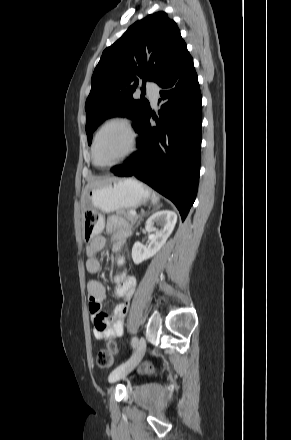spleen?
Returning <instances> with one entry per match:
<instances>
[{
	"mask_svg": "<svg viewBox=\"0 0 291 440\" xmlns=\"http://www.w3.org/2000/svg\"><path fill=\"white\" fill-rule=\"evenodd\" d=\"M159 202V196L155 192L152 193L151 204L155 205Z\"/></svg>",
	"mask_w": 291,
	"mask_h": 440,
	"instance_id": "spleen-1",
	"label": "spleen"
}]
</instances>
